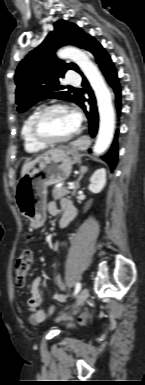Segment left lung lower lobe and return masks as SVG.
Segmentation results:
<instances>
[{"label":"left lung lower lobe","instance_id":"left-lung-lower-lobe-1","mask_svg":"<svg viewBox=\"0 0 145 385\" xmlns=\"http://www.w3.org/2000/svg\"><path fill=\"white\" fill-rule=\"evenodd\" d=\"M87 50L94 55L95 59L100 65L101 70L106 76L107 81L109 82L111 87L114 89V92L116 94L117 109L119 111L120 110V87L118 83L117 73L113 66L110 56L106 53L104 48L93 38L91 39ZM79 73L82 74L81 72ZM82 85L85 86V92L89 94L90 98L88 99V102L90 103V109L88 111L86 110V107L84 106L85 100L83 97L81 99V102L79 103V106L85 111L87 115V118L89 120V129H90L91 136L95 137L98 130V121H99L95 97L92 89L90 88L85 78L83 80ZM117 156H118V145H117V134H116L115 140L113 141V144L109 152L106 155L102 156L101 158L105 162H107L111 170H113L117 164Z\"/></svg>","mask_w":145,"mask_h":385}]
</instances>
